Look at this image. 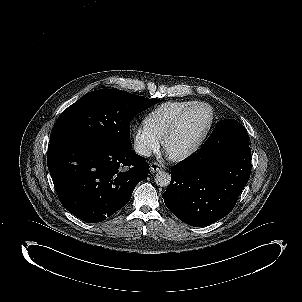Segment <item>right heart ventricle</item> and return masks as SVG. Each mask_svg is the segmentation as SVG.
<instances>
[{
	"mask_svg": "<svg viewBox=\"0 0 302 302\" xmlns=\"http://www.w3.org/2000/svg\"><path fill=\"white\" fill-rule=\"evenodd\" d=\"M191 103H167L152 113L146 121L147 129L157 138H164L178 116L187 110Z\"/></svg>",
	"mask_w": 302,
	"mask_h": 302,
	"instance_id": "e07e8e85",
	"label": "right heart ventricle"
}]
</instances>
